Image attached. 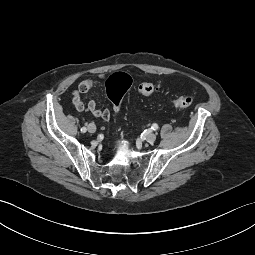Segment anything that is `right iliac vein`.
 Returning <instances> with one entry per match:
<instances>
[{"mask_svg": "<svg viewBox=\"0 0 255 255\" xmlns=\"http://www.w3.org/2000/svg\"><path fill=\"white\" fill-rule=\"evenodd\" d=\"M88 131H89L90 133H95V131H96V126H95L93 123H90V124L88 125Z\"/></svg>", "mask_w": 255, "mask_h": 255, "instance_id": "obj_1", "label": "right iliac vein"}]
</instances>
